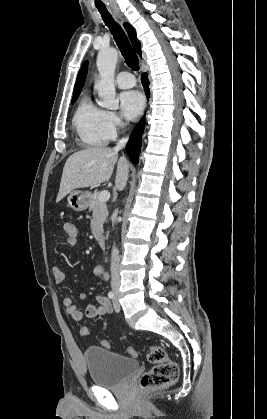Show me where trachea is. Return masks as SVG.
I'll return each mask as SVG.
<instances>
[{
	"label": "trachea",
	"mask_w": 267,
	"mask_h": 419,
	"mask_svg": "<svg viewBox=\"0 0 267 419\" xmlns=\"http://www.w3.org/2000/svg\"><path fill=\"white\" fill-rule=\"evenodd\" d=\"M105 24L109 27L117 46L119 47L122 55L124 56L126 64L132 70H139V59L131 46L126 34L122 30L119 24H117L110 13L107 11L105 6H97Z\"/></svg>",
	"instance_id": "obj_1"
}]
</instances>
